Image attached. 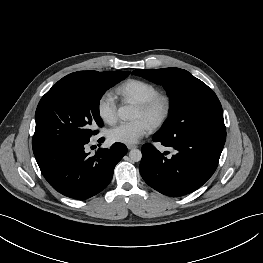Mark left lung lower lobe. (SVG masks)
<instances>
[{
	"instance_id": "1",
	"label": "left lung lower lobe",
	"mask_w": 263,
	"mask_h": 263,
	"mask_svg": "<svg viewBox=\"0 0 263 263\" xmlns=\"http://www.w3.org/2000/svg\"><path fill=\"white\" fill-rule=\"evenodd\" d=\"M226 140L225 132L166 137L153 136L154 142L171 147L166 157L151 144L142 147L140 173L144 181L167 196L178 197L200 188L214 173Z\"/></svg>"
}]
</instances>
